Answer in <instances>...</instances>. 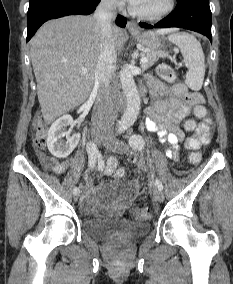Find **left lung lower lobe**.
<instances>
[{"label": "left lung lower lobe", "instance_id": "1", "mask_svg": "<svg viewBox=\"0 0 233 284\" xmlns=\"http://www.w3.org/2000/svg\"><path fill=\"white\" fill-rule=\"evenodd\" d=\"M139 24L142 28H185L204 34L212 41L209 0H178L175 10L154 26Z\"/></svg>", "mask_w": 233, "mask_h": 284}]
</instances>
